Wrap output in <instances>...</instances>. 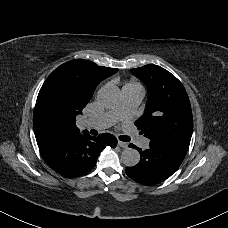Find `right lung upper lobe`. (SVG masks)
<instances>
[{
	"instance_id": "right-lung-upper-lobe-1",
	"label": "right lung upper lobe",
	"mask_w": 228,
	"mask_h": 228,
	"mask_svg": "<svg viewBox=\"0 0 228 228\" xmlns=\"http://www.w3.org/2000/svg\"><path fill=\"white\" fill-rule=\"evenodd\" d=\"M117 71L84 59L56 68L42 85L34 109L33 127L38 146L80 133L76 116L82 113L96 86Z\"/></svg>"
}]
</instances>
